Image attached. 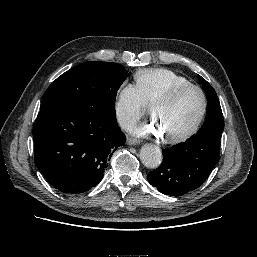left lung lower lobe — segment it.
Returning a JSON list of instances; mask_svg holds the SVG:
<instances>
[{"mask_svg": "<svg viewBox=\"0 0 257 257\" xmlns=\"http://www.w3.org/2000/svg\"><path fill=\"white\" fill-rule=\"evenodd\" d=\"M220 139H188L163 150L161 165L147 175L161 193L181 196L200 187L219 161Z\"/></svg>", "mask_w": 257, "mask_h": 257, "instance_id": "left-lung-lower-lobe-1", "label": "left lung lower lobe"}]
</instances>
